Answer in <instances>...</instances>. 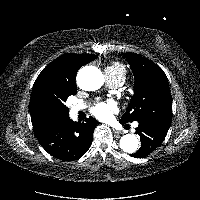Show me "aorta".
Wrapping results in <instances>:
<instances>
[{"mask_svg": "<svg viewBox=\"0 0 200 200\" xmlns=\"http://www.w3.org/2000/svg\"><path fill=\"white\" fill-rule=\"evenodd\" d=\"M77 82L81 89L94 91L104 83V75L94 66L83 67L77 75ZM139 147V140L133 134H126L120 140V148L126 153H134Z\"/></svg>", "mask_w": 200, "mask_h": 200, "instance_id": "1", "label": "aorta"}]
</instances>
